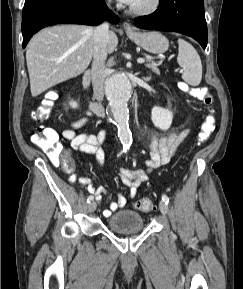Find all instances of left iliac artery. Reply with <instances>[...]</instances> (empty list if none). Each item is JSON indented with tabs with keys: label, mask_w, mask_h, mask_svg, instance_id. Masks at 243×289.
Returning a JSON list of instances; mask_svg holds the SVG:
<instances>
[{
	"label": "left iliac artery",
	"mask_w": 243,
	"mask_h": 289,
	"mask_svg": "<svg viewBox=\"0 0 243 289\" xmlns=\"http://www.w3.org/2000/svg\"><path fill=\"white\" fill-rule=\"evenodd\" d=\"M162 201H164L166 204H168V203H169V198H168V196L165 195V194H163V195H162Z\"/></svg>",
	"instance_id": "44dca946"
}]
</instances>
